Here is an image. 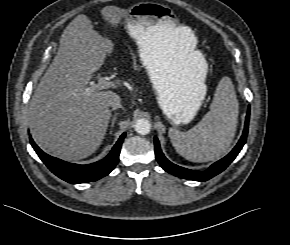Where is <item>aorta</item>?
Returning <instances> with one entry per match:
<instances>
[{"label":"aorta","mask_w":290,"mask_h":245,"mask_svg":"<svg viewBox=\"0 0 290 245\" xmlns=\"http://www.w3.org/2000/svg\"><path fill=\"white\" fill-rule=\"evenodd\" d=\"M135 131L140 135H147L151 131V124L146 119H139L135 124Z\"/></svg>","instance_id":"aorta-1"}]
</instances>
